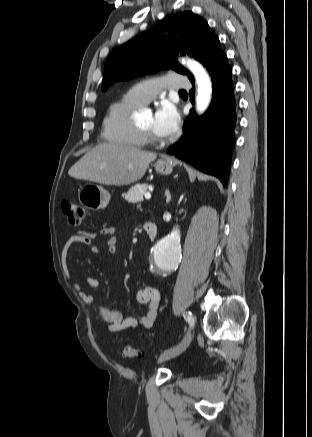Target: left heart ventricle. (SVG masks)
<instances>
[{"mask_svg": "<svg viewBox=\"0 0 312 437\" xmlns=\"http://www.w3.org/2000/svg\"><path fill=\"white\" fill-rule=\"evenodd\" d=\"M153 119H154V116L149 114V115L143 117L142 120L138 124H139L140 127L144 128V129H147V130H150L153 133H155L154 128H153ZM157 136L159 138L161 137L159 135H157Z\"/></svg>", "mask_w": 312, "mask_h": 437, "instance_id": "1", "label": "left heart ventricle"}]
</instances>
